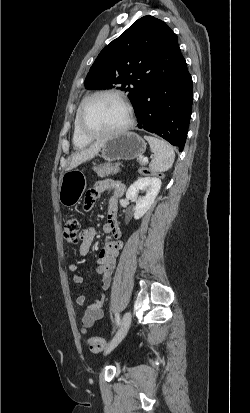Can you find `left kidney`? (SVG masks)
I'll list each match as a JSON object with an SVG mask.
<instances>
[{"label":"left kidney","instance_id":"left-kidney-1","mask_svg":"<svg viewBox=\"0 0 250 413\" xmlns=\"http://www.w3.org/2000/svg\"><path fill=\"white\" fill-rule=\"evenodd\" d=\"M161 188V180L157 177H143L136 180L127 190L126 198L134 201V218L140 219L152 206ZM139 191L145 192L138 197Z\"/></svg>","mask_w":250,"mask_h":413}]
</instances>
